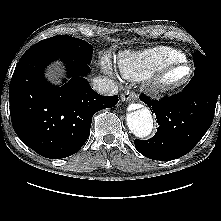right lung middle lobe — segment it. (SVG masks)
Listing matches in <instances>:
<instances>
[{
  "label": "right lung middle lobe",
  "mask_w": 221,
  "mask_h": 221,
  "mask_svg": "<svg viewBox=\"0 0 221 221\" xmlns=\"http://www.w3.org/2000/svg\"><path fill=\"white\" fill-rule=\"evenodd\" d=\"M34 45L43 46L64 57L86 64L90 63L93 54V47L91 44L84 40L65 35L54 36L39 41Z\"/></svg>",
  "instance_id": "obj_1"
}]
</instances>
